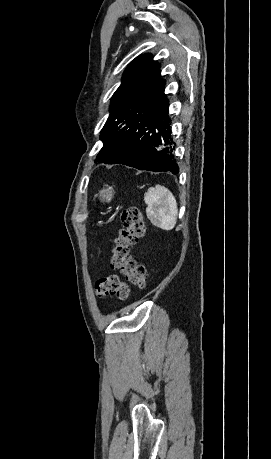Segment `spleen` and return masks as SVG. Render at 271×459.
<instances>
[{"label": "spleen", "mask_w": 271, "mask_h": 459, "mask_svg": "<svg viewBox=\"0 0 271 459\" xmlns=\"http://www.w3.org/2000/svg\"><path fill=\"white\" fill-rule=\"evenodd\" d=\"M144 202L147 204V218L154 226L161 229L175 228L178 216L177 202L167 188H149L144 196Z\"/></svg>", "instance_id": "1"}]
</instances>
